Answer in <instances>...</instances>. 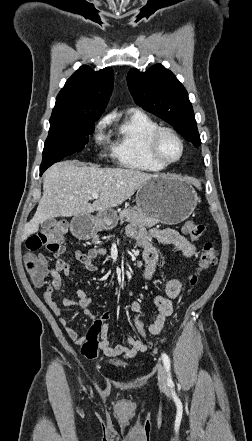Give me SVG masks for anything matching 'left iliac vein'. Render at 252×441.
Returning a JSON list of instances; mask_svg holds the SVG:
<instances>
[{
    "label": "left iliac vein",
    "instance_id": "obj_1",
    "mask_svg": "<svg viewBox=\"0 0 252 441\" xmlns=\"http://www.w3.org/2000/svg\"><path fill=\"white\" fill-rule=\"evenodd\" d=\"M158 381L161 387L164 388L167 386V376L165 369L162 365L158 367Z\"/></svg>",
    "mask_w": 252,
    "mask_h": 441
}]
</instances>
